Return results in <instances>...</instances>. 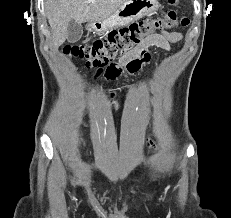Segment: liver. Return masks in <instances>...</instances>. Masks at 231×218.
I'll use <instances>...</instances> for the list:
<instances>
[{"mask_svg": "<svg viewBox=\"0 0 231 218\" xmlns=\"http://www.w3.org/2000/svg\"><path fill=\"white\" fill-rule=\"evenodd\" d=\"M125 0H45L55 49L68 38V24L101 21L110 17Z\"/></svg>", "mask_w": 231, "mask_h": 218, "instance_id": "liver-1", "label": "liver"}]
</instances>
